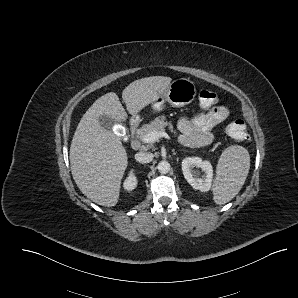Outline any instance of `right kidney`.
Returning a JSON list of instances; mask_svg holds the SVG:
<instances>
[{
    "label": "right kidney",
    "mask_w": 298,
    "mask_h": 298,
    "mask_svg": "<svg viewBox=\"0 0 298 298\" xmlns=\"http://www.w3.org/2000/svg\"><path fill=\"white\" fill-rule=\"evenodd\" d=\"M137 172L135 168H130L127 171V175L125 177V179L122 182V188L124 191H132L134 189H136L137 187Z\"/></svg>",
    "instance_id": "right-kidney-1"
}]
</instances>
